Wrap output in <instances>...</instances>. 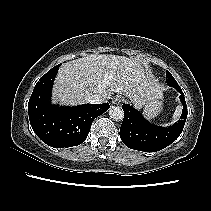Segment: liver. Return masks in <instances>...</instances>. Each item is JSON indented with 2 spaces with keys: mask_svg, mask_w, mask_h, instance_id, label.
<instances>
[{
  "mask_svg": "<svg viewBox=\"0 0 211 211\" xmlns=\"http://www.w3.org/2000/svg\"><path fill=\"white\" fill-rule=\"evenodd\" d=\"M115 93L142 107L148 101L162 98L163 88L132 58L92 54L62 65L53 87L52 103L79 105L89 95L99 94L107 100Z\"/></svg>",
  "mask_w": 211,
  "mask_h": 211,
  "instance_id": "liver-1",
  "label": "liver"
}]
</instances>
